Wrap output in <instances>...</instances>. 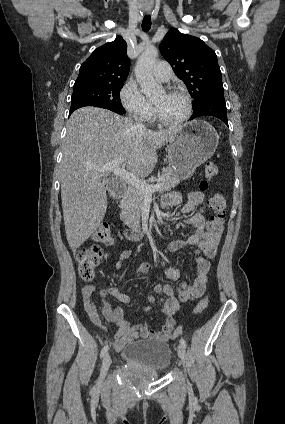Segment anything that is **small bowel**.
I'll return each mask as SVG.
<instances>
[{
	"mask_svg": "<svg viewBox=\"0 0 285 424\" xmlns=\"http://www.w3.org/2000/svg\"><path fill=\"white\" fill-rule=\"evenodd\" d=\"M181 202V194L173 191L165 194L162 198L161 206L163 209H169L177 206ZM197 211L194 212V210ZM206 198L200 191H190L187 193L186 202L182 208V214L188 215L185 217L184 224L192 228V233L185 240H175L167 243L169 252L174 253L186 247H197L202 249L203 241L206 238V230L208 229V222L205 220ZM132 256V250L127 249L120 253L116 262V270L121 269L124 261ZM196 263V273L193 277L192 283L181 281L180 278L184 274L182 268H176L167 265L165 268L166 275L174 281H177V287L173 288L169 284L161 285L155 284L153 294L148 295L149 306L144 310L148 311L151 308L160 310L163 316V322L158 330H152L148 327L147 323L131 324L125 319L124 312L121 308H112L106 301L107 295L113 296L118 302L122 304H130L131 298L120 292L116 288L104 290L101 292L103 296L102 301V314L103 316L116 326L114 335V348L120 351L127 343H130L138 338L153 339L160 341H168L175 329V321L173 315L180 309L181 302L195 300L201 297L206 289L208 273L210 270L209 258L201 255L194 257ZM151 269L148 263L142 264L139 268L140 273H146ZM96 291V286L93 284L85 285L82 289L84 308L92 321L98 327H103L98 309L93 301V295ZM158 297V300L157 298Z\"/></svg>",
	"mask_w": 285,
	"mask_h": 424,
	"instance_id": "c3829d8e",
	"label": "small bowel"
}]
</instances>
